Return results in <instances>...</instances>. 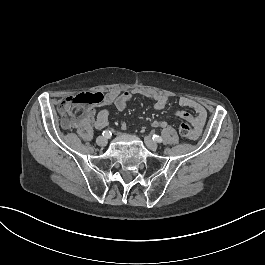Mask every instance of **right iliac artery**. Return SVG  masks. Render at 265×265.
Returning a JSON list of instances; mask_svg holds the SVG:
<instances>
[{
    "label": "right iliac artery",
    "mask_w": 265,
    "mask_h": 265,
    "mask_svg": "<svg viewBox=\"0 0 265 265\" xmlns=\"http://www.w3.org/2000/svg\"><path fill=\"white\" fill-rule=\"evenodd\" d=\"M102 135L105 136L106 138H109L111 133H110V131L105 130V131H103Z\"/></svg>",
    "instance_id": "1"
}]
</instances>
